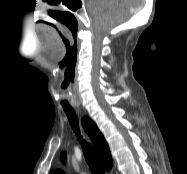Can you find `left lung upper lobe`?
I'll use <instances>...</instances> for the list:
<instances>
[{
	"label": "left lung upper lobe",
	"instance_id": "obj_1",
	"mask_svg": "<svg viewBox=\"0 0 187 174\" xmlns=\"http://www.w3.org/2000/svg\"><path fill=\"white\" fill-rule=\"evenodd\" d=\"M62 160H63V162H65V160H66L65 154H62Z\"/></svg>",
	"mask_w": 187,
	"mask_h": 174
}]
</instances>
